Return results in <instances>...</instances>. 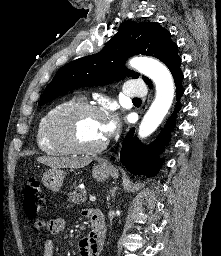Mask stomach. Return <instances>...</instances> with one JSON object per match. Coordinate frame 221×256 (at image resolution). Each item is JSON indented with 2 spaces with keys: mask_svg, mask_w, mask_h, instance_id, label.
<instances>
[{
  "mask_svg": "<svg viewBox=\"0 0 221 256\" xmlns=\"http://www.w3.org/2000/svg\"><path fill=\"white\" fill-rule=\"evenodd\" d=\"M115 169L103 165H97L92 170V175L98 181H104ZM65 172L60 169H50L42 176L43 185L51 191H58L63 184Z\"/></svg>",
  "mask_w": 221,
  "mask_h": 256,
  "instance_id": "obj_1",
  "label": "stomach"
}]
</instances>
